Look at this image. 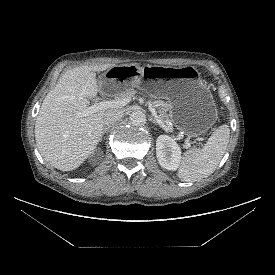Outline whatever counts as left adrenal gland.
Masks as SVG:
<instances>
[{
  "instance_id": "left-adrenal-gland-1",
  "label": "left adrenal gland",
  "mask_w": 275,
  "mask_h": 275,
  "mask_svg": "<svg viewBox=\"0 0 275 275\" xmlns=\"http://www.w3.org/2000/svg\"><path fill=\"white\" fill-rule=\"evenodd\" d=\"M149 120L151 121V122H153L154 124H158V122L151 116V117H149Z\"/></svg>"
}]
</instances>
